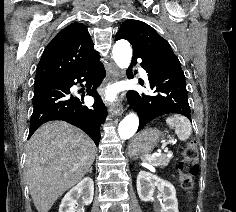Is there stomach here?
Returning a JSON list of instances; mask_svg holds the SVG:
<instances>
[{
    "mask_svg": "<svg viewBox=\"0 0 236 212\" xmlns=\"http://www.w3.org/2000/svg\"><path fill=\"white\" fill-rule=\"evenodd\" d=\"M161 137L162 133L157 129H145L141 131L136 135L130 145V155L135 157L150 153Z\"/></svg>",
    "mask_w": 236,
    "mask_h": 212,
    "instance_id": "0dacf381",
    "label": "stomach"
}]
</instances>
